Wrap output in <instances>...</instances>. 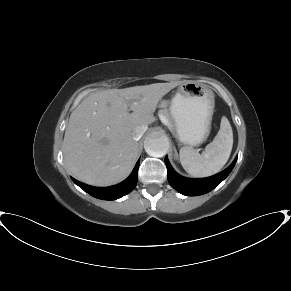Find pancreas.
Here are the masks:
<instances>
[{
	"instance_id": "pancreas-1",
	"label": "pancreas",
	"mask_w": 291,
	"mask_h": 291,
	"mask_svg": "<svg viewBox=\"0 0 291 291\" xmlns=\"http://www.w3.org/2000/svg\"><path fill=\"white\" fill-rule=\"evenodd\" d=\"M168 106V102L167 101H162L160 104V107L162 108L160 110V114L165 117V119H167L169 121V123H172L171 117H170V113L167 109Z\"/></svg>"
}]
</instances>
